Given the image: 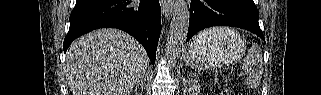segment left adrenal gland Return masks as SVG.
I'll list each match as a JSON object with an SVG mask.
<instances>
[{
  "mask_svg": "<svg viewBox=\"0 0 321 95\" xmlns=\"http://www.w3.org/2000/svg\"><path fill=\"white\" fill-rule=\"evenodd\" d=\"M183 87H184V92H186V90H187L186 81L183 82Z\"/></svg>",
  "mask_w": 321,
  "mask_h": 95,
  "instance_id": "left-adrenal-gland-1",
  "label": "left adrenal gland"
}]
</instances>
